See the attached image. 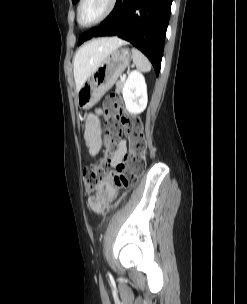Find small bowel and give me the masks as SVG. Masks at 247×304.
I'll list each match as a JSON object with an SVG mask.
<instances>
[{"mask_svg": "<svg viewBox=\"0 0 247 304\" xmlns=\"http://www.w3.org/2000/svg\"><path fill=\"white\" fill-rule=\"evenodd\" d=\"M101 111L99 110L96 114L89 115L87 119V125L85 130V140L87 144V152L90 156H96L101 147V132H100V124H99V114ZM127 152V145L125 140H122L113 155L112 164L119 165ZM100 212V211H98Z\"/></svg>", "mask_w": 247, "mask_h": 304, "instance_id": "obj_1", "label": "small bowel"}]
</instances>
